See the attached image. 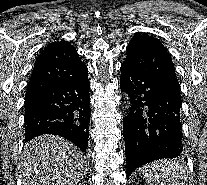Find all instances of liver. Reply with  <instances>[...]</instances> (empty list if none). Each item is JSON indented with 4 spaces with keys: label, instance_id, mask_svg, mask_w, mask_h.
<instances>
[{
    "label": "liver",
    "instance_id": "1",
    "mask_svg": "<svg viewBox=\"0 0 207 185\" xmlns=\"http://www.w3.org/2000/svg\"><path fill=\"white\" fill-rule=\"evenodd\" d=\"M85 163L84 153L63 137H35L23 151L21 185H77Z\"/></svg>",
    "mask_w": 207,
    "mask_h": 185
}]
</instances>
